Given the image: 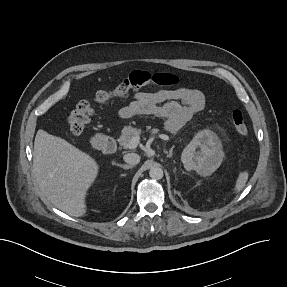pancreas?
<instances>
[{
  "instance_id": "pancreas-1",
  "label": "pancreas",
  "mask_w": 287,
  "mask_h": 287,
  "mask_svg": "<svg viewBox=\"0 0 287 287\" xmlns=\"http://www.w3.org/2000/svg\"><path fill=\"white\" fill-rule=\"evenodd\" d=\"M157 131H158L157 128H153L152 130H150L151 134H154ZM141 132H142L141 128H134L132 126H125L121 131L120 138L118 139L120 146H122L123 148H127L126 146L129 143V141L131 140V138L133 136H140Z\"/></svg>"
}]
</instances>
